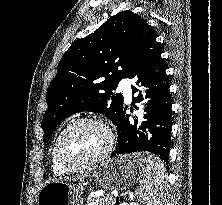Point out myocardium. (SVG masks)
Here are the masks:
<instances>
[{
    "instance_id": "myocardium-1",
    "label": "myocardium",
    "mask_w": 222,
    "mask_h": 205,
    "mask_svg": "<svg viewBox=\"0 0 222 205\" xmlns=\"http://www.w3.org/2000/svg\"><path fill=\"white\" fill-rule=\"evenodd\" d=\"M82 124H92V125H96V126L100 127L106 135V144H105L103 150L99 154H97L96 156H94L88 160L81 161V162H69L68 160H66L64 158L62 151H61L63 139L73 128H75L78 125H82ZM113 143H114L113 133L104 121L97 119V118H93V117H82V118H78V119L74 120L69 125H67L66 128H64L61 131V133L59 134V136L55 142V156H56L58 163L62 167L66 168L68 170H79V169H83V168H87V167L96 165V164L102 162L104 159H106L109 156L110 152L112 151Z\"/></svg>"
}]
</instances>
